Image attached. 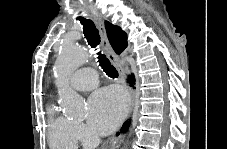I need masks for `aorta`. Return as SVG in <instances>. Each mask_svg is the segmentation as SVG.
<instances>
[{"label":"aorta","instance_id":"762f6f07","mask_svg":"<svg viewBox=\"0 0 227 149\" xmlns=\"http://www.w3.org/2000/svg\"><path fill=\"white\" fill-rule=\"evenodd\" d=\"M89 54L75 43H63L54 65V75L58 87V99L66 113L72 116L83 114V101L79 95L68 86L69 77L88 58Z\"/></svg>","mask_w":227,"mask_h":149}]
</instances>
